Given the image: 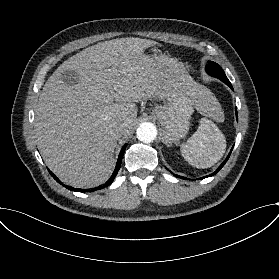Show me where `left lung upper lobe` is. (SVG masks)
<instances>
[{
  "mask_svg": "<svg viewBox=\"0 0 279 279\" xmlns=\"http://www.w3.org/2000/svg\"><path fill=\"white\" fill-rule=\"evenodd\" d=\"M206 71L209 75L220 79L228 86L231 85L230 81L228 80V78L225 75V72L217 63L209 61L208 65L206 66Z\"/></svg>",
  "mask_w": 279,
  "mask_h": 279,
  "instance_id": "5c2ea615",
  "label": "left lung upper lobe"
}]
</instances>
